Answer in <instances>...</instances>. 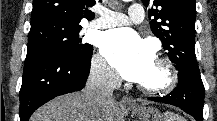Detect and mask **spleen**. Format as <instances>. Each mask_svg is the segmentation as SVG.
<instances>
[{
	"label": "spleen",
	"instance_id": "spleen-1",
	"mask_svg": "<svg viewBox=\"0 0 217 121\" xmlns=\"http://www.w3.org/2000/svg\"><path fill=\"white\" fill-rule=\"evenodd\" d=\"M165 121H185L182 117L173 113H166Z\"/></svg>",
	"mask_w": 217,
	"mask_h": 121
}]
</instances>
